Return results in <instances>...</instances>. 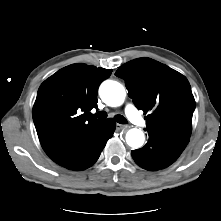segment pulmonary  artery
<instances>
[{"label": "pulmonary artery", "instance_id": "pulmonary-artery-1", "mask_svg": "<svg viewBox=\"0 0 221 221\" xmlns=\"http://www.w3.org/2000/svg\"><path fill=\"white\" fill-rule=\"evenodd\" d=\"M125 113L127 117L137 126H145L146 121L144 118L138 113L137 109L132 105L128 104L125 108Z\"/></svg>", "mask_w": 221, "mask_h": 221}]
</instances>
